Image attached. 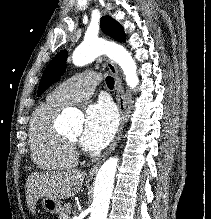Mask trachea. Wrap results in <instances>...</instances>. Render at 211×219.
Instances as JSON below:
<instances>
[{
  "mask_svg": "<svg viewBox=\"0 0 211 219\" xmlns=\"http://www.w3.org/2000/svg\"><path fill=\"white\" fill-rule=\"evenodd\" d=\"M106 84H107L109 89H113V87H114V78H112L111 76H107L106 77Z\"/></svg>",
  "mask_w": 211,
  "mask_h": 219,
  "instance_id": "trachea-1",
  "label": "trachea"
}]
</instances>
